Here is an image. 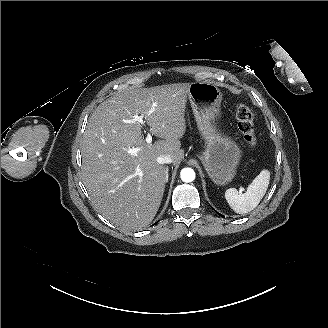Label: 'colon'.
<instances>
[{"label":"colon","instance_id":"obj_1","mask_svg":"<svg viewBox=\"0 0 328 328\" xmlns=\"http://www.w3.org/2000/svg\"><path fill=\"white\" fill-rule=\"evenodd\" d=\"M236 119L238 129L244 140L251 148H255L257 146V138L255 134V118L252 110L244 104L238 105L236 108Z\"/></svg>","mask_w":328,"mask_h":328}]
</instances>
